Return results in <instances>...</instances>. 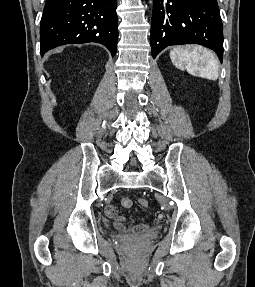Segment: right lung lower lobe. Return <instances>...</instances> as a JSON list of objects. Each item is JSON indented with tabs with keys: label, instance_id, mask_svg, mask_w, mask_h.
<instances>
[{
	"label": "right lung lower lobe",
	"instance_id": "98d812e1",
	"mask_svg": "<svg viewBox=\"0 0 255 287\" xmlns=\"http://www.w3.org/2000/svg\"><path fill=\"white\" fill-rule=\"evenodd\" d=\"M117 0H47L40 23L41 55L64 44L98 42L116 54Z\"/></svg>",
	"mask_w": 255,
	"mask_h": 287
}]
</instances>
